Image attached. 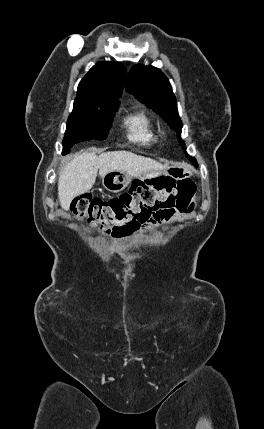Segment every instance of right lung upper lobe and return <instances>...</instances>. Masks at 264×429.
<instances>
[{
    "label": "right lung upper lobe",
    "instance_id": "1",
    "mask_svg": "<svg viewBox=\"0 0 264 429\" xmlns=\"http://www.w3.org/2000/svg\"><path fill=\"white\" fill-rule=\"evenodd\" d=\"M126 76L119 62H99L78 85L75 101L119 103Z\"/></svg>",
    "mask_w": 264,
    "mask_h": 429
}]
</instances>
